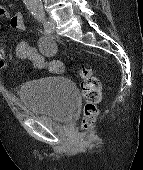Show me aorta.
<instances>
[{"label":"aorta","instance_id":"aorta-1","mask_svg":"<svg viewBox=\"0 0 143 170\" xmlns=\"http://www.w3.org/2000/svg\"><path fill=\"white\" fill-rule=\"evenodd\" d=\"M24 3L27 9L30 10L34 16L42 15L43 13L42 0H24Z\"/></svg>","mask_w":143,"mask_h":170}]
</instances>
